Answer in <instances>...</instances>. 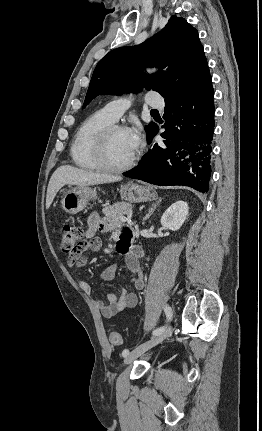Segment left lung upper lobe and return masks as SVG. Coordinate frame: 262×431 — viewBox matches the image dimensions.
<instances>
[{
    "instance_id": "1",
    "label": "left lung upper lobe",
    "mask_w": 262,
    "mask_h": 431,
    "mask_svg": "<svg viewBox=\"0 0 262 431\" xmlns=\"http://www.w3.org/2000/svg\"><path fill=\"white\" fill-rule=\"evenodd\" d=\"M146 66L168 67L145 76ZM207 60L197 30L185 19L172 16L161 32L146 42L110 51L97 64L83 107L99 94H122L143 86L165 99L190 92L210 78ZM155 123L145 127L147 137Z\"/></svg>"
}]
</instances>
